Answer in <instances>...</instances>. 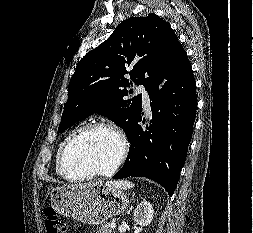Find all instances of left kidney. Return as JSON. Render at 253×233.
<instances>
[{
  "instance_id": "left-kidney-1",
  "label": "left kidney",
  "mask_w": 253,
  "mask_h": 233,
  "mask_svg": "<svg viewBox=\"0 0 253 233\" xmlns=\"http://www.w3.org/2000/svg\"><path fill=\"white\" fill-rule=\"evenodd\" d=\"M153 206L148 201H142L134 210V221L140 226H148L153 220Z\"/></svg>"
}]
</instances>
